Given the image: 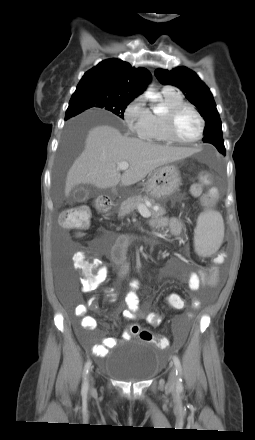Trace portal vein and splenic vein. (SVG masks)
<instances>
[{
	"mask_svg": "<svg viewBox=\"0 0 255 440\" xmlns=\"http://www.w3.org/2000/svg\"><path fill=\"white\" fill-rule=\"evenodd\" d=\"M128 168H129V164L127 162H120V163H118V170H127ZM138 211L145 218H149L151 216L150 211L144 205H139L138 206Z\"/></svg>",
	"mask_w": 255,
	"mask_h": 440,
	"instance_id": "1",
	"label": "portal vein and splenic vein"
}]
</instances>
